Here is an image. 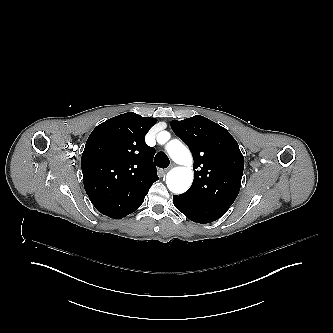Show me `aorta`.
I'll list each match as a JSON object with an SVG mask.
<instances>
[{"label": "aorta", "mask_w": 333, "mask_h": 333, "mask_svg": "<svg viewBox=\"0 0 333 333\" xmlns=\"http://www.w3.org/2000/svg\"><path fill=\"white\" fill-rule=\"evenodd\" d=\"M167 151L175 162L185 167H178L175 172H168L167 186L173 193L180 194L189 189L193 180L192 156L190 151L179 141L173 140L167 145Z\"/></svg>", "instance_id": "aorta-1"}]
</instances>
